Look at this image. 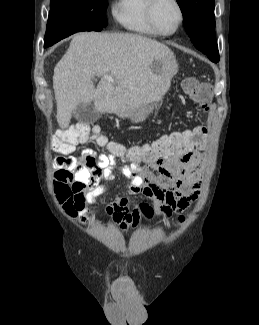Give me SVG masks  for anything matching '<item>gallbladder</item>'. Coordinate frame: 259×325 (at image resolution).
Here are the masks:
<instances>
[{
	"label": "gallbladder",
	"instance_id": "gallbladder-1",
	"mask_svg": "<svg viewBox=\"0 0 259 325\" xmlns=\"http://www.w3.org/2000/svg\"><path fill=\"white\" fill-rule=\"evenodd\" d=\"M73 115L76 118L84 120L85 122L90 124H93L99 118V114L95 111L91 103L87 104L86 106H84L83 104H79L73 111Z\"/></svg>",
	"mask_w": 259,
	"mask_h": 325
}]
</instances>
